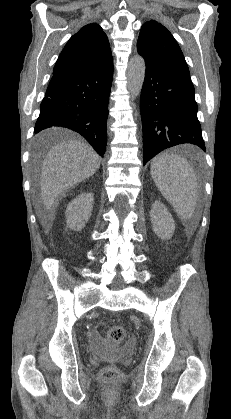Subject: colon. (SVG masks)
Here are the masks:
<instances>
[{"mask_svg": "<svg viewBox=\"0 0 231 419\" xmlns=\"http://www.w3.org/2000/svg\"><path fill=\"white\" fill-rule=\"evenodd\" d=\"M126 331L119 324L112 325L107 332V344L111 349L118 347L125 339ZM119 375L118 368L109 364L105 366L99 373L100 379L107 385H114Z\"/></svg>", "mask_w": 231, "mask_h": 419, "instance_id": "colon-1", "label": "colon"}]
</instances>
